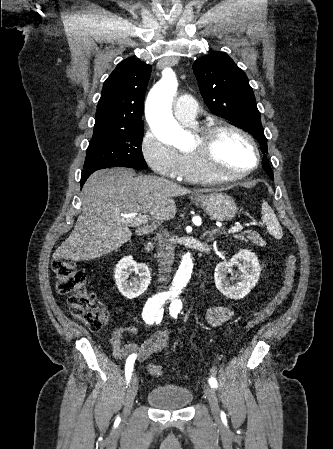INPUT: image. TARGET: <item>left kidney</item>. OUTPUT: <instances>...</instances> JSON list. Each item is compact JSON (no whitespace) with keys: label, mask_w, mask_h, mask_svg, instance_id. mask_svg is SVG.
<instances>
[{"label":"left kidney","mask_w":333,"mask_h":449,"mask_svg":"<svg viewBox=\"0 0 333 449\" xmlns=\"http://www.w3.org/2000/svg\"><path fill=\"white\" fill-rule=\"evenodd\" d=\"M239 269L240 282L232 285L229 274L232 269ZM261 273L258 257L250 250H240L228 262H221L215 268V286L226 297L240 299L245 297L256 285Z\"/></svg>","instance_id":"obj_1"}]
</instances>
